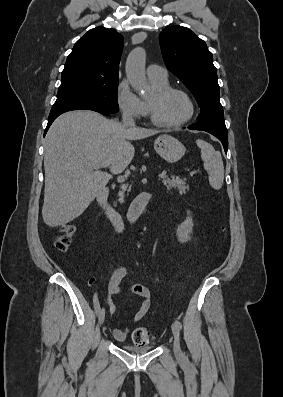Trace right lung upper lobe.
Returning a JSON list of instances; mask_svg holds the SVG:
<instances>
[{
	"instance_id": "cb5924a9",
	"label": "right lung upper lobe",
	"mask_w": 283,
	"mask_h": 397,
	"mask_svg": "<svg viewBox=\"0 0 283 397\" xmlns=\"http://www.w3.org/2000/svg\"><path fill=\"white\" fill-rule=\"evenodd\" d=\"M123 36L105 27L89 30L74 45L62 73L118 78Z\"/></svg>"
}]
</instances>
